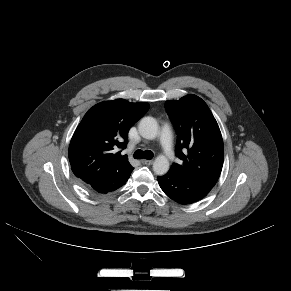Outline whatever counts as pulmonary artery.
Wrapping results in <instances>:
<instances>
[{
  "label": "pulmonary artery",
  "instance_id": "obj_1",
  "mask_svg": "<svg viewBox=\"0 0 291 291\" xmlns=\"http://www.w3.org/2000/svg\"><path fill=\"white\" fill-rule=\"evenodd\" d=\"M159 144L166 155L170 160L174 159V152L172 149V141H171V130L168 124H165L161 130Z\"/></svg>",
  "mask_w": 291,
  "mask_h": 291
}]
</instances>
